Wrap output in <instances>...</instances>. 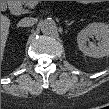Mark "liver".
<instances>
[{"label": "liver", "mask_w": 109, "mask_h": 109, "mask_svg": "<svg viewBox=\"0 0 109 109\" xmlns=\"http://www.w3.org/2000/svg\"><path fill=\"white\" fill-rule=\"evenodd\" d=\"M10 27V20L6 16L1 17V48L4 51Z\"/></svg>", "instance_id": "1"}]
</instances>
